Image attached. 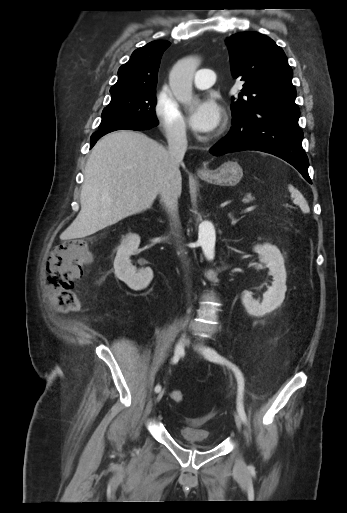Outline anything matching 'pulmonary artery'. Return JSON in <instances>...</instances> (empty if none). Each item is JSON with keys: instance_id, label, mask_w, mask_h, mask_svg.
<instances>
[{"instance_id": "1", "label": "pulmonary artery", "mask_w": 347, "mask_h": 513, "mask_svg": "<svg viewBox=\"0 0 347 513\" xmlns=\"http://www.w3.org/2000/svg\"><path fill=\"white\" fill-rule=\"evenodd\" d=\"M216 81V73L211 69H199L194 78V85L198 89H206Z\"/></svg>"}]
</instances>
